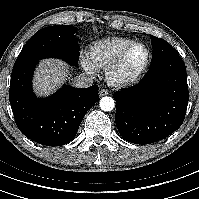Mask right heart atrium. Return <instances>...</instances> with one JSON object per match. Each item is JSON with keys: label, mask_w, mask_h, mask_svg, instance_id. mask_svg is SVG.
<instances>
[{"label": "right heart atrium", "mask_w": 199, "mask_h": 199, "mask_svg": "<svg viewBox=\"0 0 199 199\" xmlns=\"http://www.w3.org/2000/svg\"><path fill=\"white\" fill-rule=\"evenodd\" d=\"M81 66L83 69L90 75H95L97 73V68L93 65V63L86 57H81Z\"/></svg>", "instance_id": "right-heart-atrium-1"}]
</instances>
